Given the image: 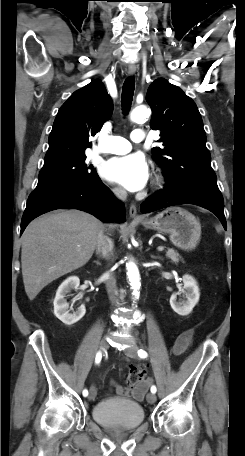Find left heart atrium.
Segmentation results:
<instances>
[{
  "mask_svg": "<svg viewBox=\"0 0 245 456\" xmlns=\"http://www.w3.org/2000/svg\"><path fill=\"white\" fill-rule=\"evenodd\" d=\"M102 173L107 180L118 183L129 191L141 190L149 178L148 164L139 153L110 159L104 165Z\"/></svg>",
  "mask_w": 245,
  "mask_h": 456,
  "instance_id": "obj_1",
  "label": "left heart atrium"
}]
</instances>
